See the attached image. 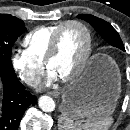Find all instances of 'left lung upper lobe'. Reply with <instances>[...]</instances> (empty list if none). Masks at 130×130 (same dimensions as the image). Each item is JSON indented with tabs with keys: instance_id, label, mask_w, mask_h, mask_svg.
<instances>
[{
	"instance_id": "obj_1",
	"label": "left lung upper lobe",
	"mask_w": 130,
	"mask_h": 130,
	"mask_svg": "<svg viewBox=\"0 0 130 130\" xmlns=\"http://www.w3.org/2000/svg\"><path fill=\"white\" fill-rule=\"evenodd\" d=\"M78 18L90 23V25H92L95 30L100 33L101 37L105 39L111 46L125 51L119 34L108 22L90 14L78 15Z\"/></svg>"
}]
</instances>
